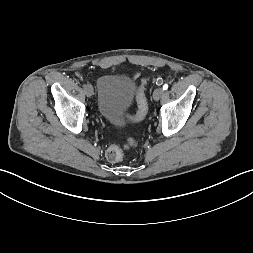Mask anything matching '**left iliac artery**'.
I'll list each match as a JSON object with an SVG mask.
<instances>
[{
	"instance_id": "obj_1",
	"label": "left iliac artery",
	"mask_w": 253,
	"mask_h": 253,
	"mask_svg": "<svg viewBox=\"0 0 253 253\" xmlns=\"http://www.w3.org/2000/svg\"><path fill=\"white\" fill-rule=\"evenodd\" d=\"M168 89V85L167 84H164L163 85V90H167Z\"/></svg>"
}]
</instances>
